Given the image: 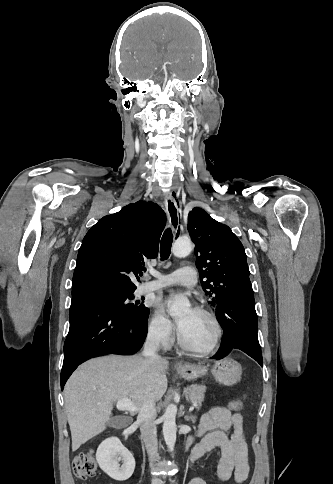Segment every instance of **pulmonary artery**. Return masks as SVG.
Instances as JSON below:
<instances>
[{
  "instance_id": "1",
  "label": "pulmonary artery",
  "mask_w": 333,
  "mask_h": 484,
  "mask_svg": "<svg viewBox=\"0 0 333 484\" xmlns=\"http://www.w3.org/2000/svg\"><path fill=\"white\" fill-rule=\"evenodd\" d=\"M197 283V274L193 267L184 266L168 274L157 275V279L144 282L139 288V293H147L164 287L181 285L193 287Z\"/></svg>"
}]
</instances>
